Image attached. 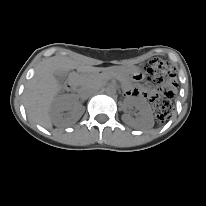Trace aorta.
<instances>
[{
    "instance_id": "762f6f07",
    "label": "aorta",
    "mask_w": 206,
    "mask_h": 206,
    "mask_svg": "<svg viewBox=\"0 0 206 206\" xmlns=\"http://www.w3.org/2000/svg\"><path fill=\"white\" fill-rule=\"evenodd\" d=\"M106 93L108 95H115L116 94V87L113 85H110L106 88Z\"/></svg>"
}]
</instances>
